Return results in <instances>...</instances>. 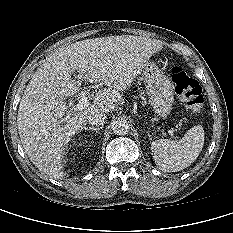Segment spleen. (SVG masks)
Returning a JSON list of instances; mask_svg holds the SVG:
<instances>
[{
    "label": "spleen",
    "instance_id": "spleen-1",
    "mask_svg": "<svg viewBox=\"0 0 233 233\" xmlns=\"http://www.w3.org/2000/svg\"><path fill=\"white\" fill-rule=\"evenodd\" d=\"M204 145V129L196 125L178 141L155 140L151 144L153 159L165 172H176L189 167L199 156Z\"/></svg>",
    "mask_w": 233,
    "mask_h": 233
}]
</instances>
